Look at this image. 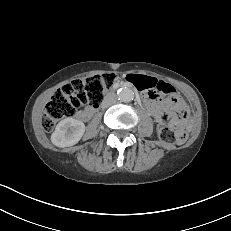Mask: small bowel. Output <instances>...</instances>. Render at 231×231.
Listing matches in <instances>:
<instances>
[{"label": "small bowel", "instance_id": "1", "mask_svg": "<svg viewBox=\"0 0 231 231\" xmlns=\"http://www.w3.org/2000/svg\"><path fill=\"white\" fill-rule=\"evenodd\" d=\"M137 78L143 79L144 85L148 88L156 87L157 84L161 82L152 76L134 75L131 77V81L135 86L136 83L134 80ZM170 95L171 97L169 99H167L163 104H160L151 100L149 90H144L142 93V96L148 100V108L157 122H161L163 120L164 113L171 112L175 107L184 106V103L179 95L175 93H171Z\"/></svg>", "mask_w": 231, "mask_h": 231}]
</instances>
